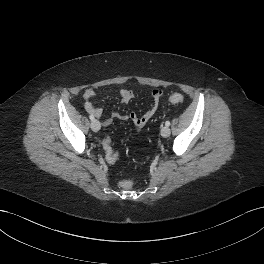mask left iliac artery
Returning <instances> with one entry per match:
<instances>
[{
    "mask_svg": "<svg viewBox=\"0 0 264 264\" xmlns=\"http://www.w3.org/2000/svg\"><path fill=\"white\" fill-rule=\"evenodd\" d=\"M165 125H166V126H170V121H166V122H165Z\"/></svg>",
    "mask_w": 264,
    "mask_h": 264,
    "instance_id": "44dca946",
    "label": "left iliac artery"
}]
</instances>
